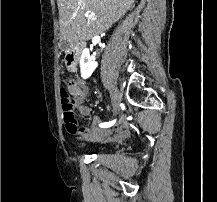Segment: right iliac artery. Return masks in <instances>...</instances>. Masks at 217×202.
<instances>
[{"label": "right iliac artery", "mask_w": 217, "mask_h": 202, "mask_svg": "<svg viewBox=\"0 0 217 202\" xmlns=\"http://www.w3.org/2000/svg\"><path fill=\"white\" fill-rule=\"evenodd\" d=\"M115 122H116V120H113L110 122H104V123L99 124V126L102 128H108V127H111L112 125H114Z\"/></svg>", "instance_id": "82829eb1"}]
</instances>
